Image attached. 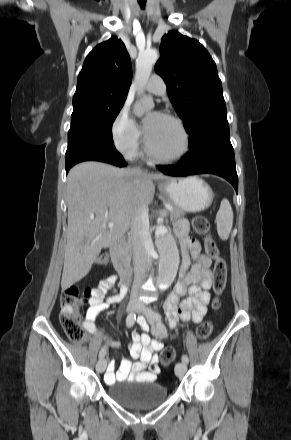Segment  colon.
<instances>
[{
  "label": "colon",
  "instance_id": "obj_1",
  "mask_svg": "<svg viewBox=\"0 0 291 440\" xmlns=\"http://www.w3.org/2000/svg\"><path fill=\"white\" fill-rule=\"evenodd\" d=\"M193 229L198 234H207L210 229L209 220L204 216H196L192 222ZM206 254L214 260V277L213 288L216 294H221L225 288L227 279V266L223 258L220 257L218 248L210 236H206L205 241ZM103 263H106L104 258ZM95 289L83 288L73 284L62 290L60 323L62 329L68 339L74 343H80L85 339L84 328L80 324V307L93 294ZM218 304L217 302L215 303ZM212 324L210 322L202 323L197 330L199 339L207 338L212 332ZM176 351L173 347H166L161 354V362L164 366H168L175 358Z\"/></svg>",
  "mask_w": 291,
  "mask_h": 440
}]
</instances>
